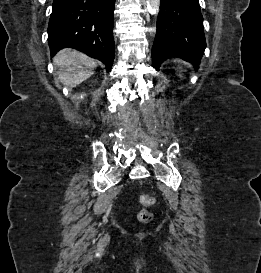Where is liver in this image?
Returning a JSON list of instances; mask_svg holds the SVG:
<instances>
[{
    "mask_svg": "<svg viewBox=\"0 0 261 273\" xmlns=\"http://www.w3.org/2000/svg\"><path fill=\"white\" fill-rule=\"evenodd\" d=\"M53 63L60 69L59 79L69 88H74L94 74L96 62L90 57L73 49L57 53Z\"/></svg>",
    "mask_w": 261,
    "mask_h": 273,
    "instance_id": "6515ba94",
    "label": "liver"
}]
</instances>
